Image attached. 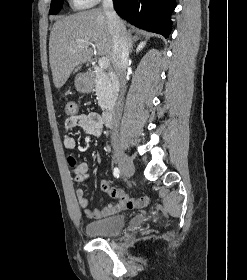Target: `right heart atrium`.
I'll use <instances>...</instances> for the list:
<instances>
[{"label": "right heart atrium", "mask_w": 247, "mask_h": 280, "mask_svg": "<svg viewBox=\"0 0 247 280\" xmlns=\"http://www.w3.org/2000/svg\"><path fill=\"white\" fill-rule=\"evenodd\" d=\"M73 1L75 2L76 5L80 7H89L96 4L100 0H73Z\"/></svg>", "instance_id": "d8ad5b80"}]
</instances>
